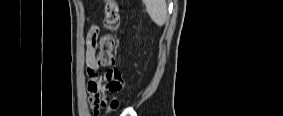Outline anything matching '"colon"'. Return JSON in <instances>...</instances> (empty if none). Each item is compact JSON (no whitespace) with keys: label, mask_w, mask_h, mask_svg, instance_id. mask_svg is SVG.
I'll list each match as a JSON object with an SVG mask.
<instances>
[{"label":"colon","mask_w":283,"mask_h":116,"mask_svg":"<svg viewBox=\"0 0 283 116\" xmlns=\"http://www.w3.org/2000/svg\"><path fill=\"white\" fill-rule=\"evenodd\" d=\"M104 25L107 33L101 37L100 51L97 56L98 63L106 69L104 77L109 81V90L114 94L123 88L122 76L116 65L115 33L120 26V9L116 0H106ZM119 106V101L114 95L103 103L93 106V111L98 114L101 110L113 111Z\"/></svg>","instance_id":"1"}]
</instances>
